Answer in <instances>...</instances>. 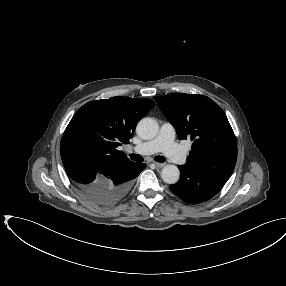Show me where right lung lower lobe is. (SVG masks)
I'll use <instances>...</instances> for the list:
<instances>
[{
    "label": "right lung lower lobe",
    "mask_w": 286,
    "mask_h": 286,
    "mask_svg": "<svg viewBox=\"0 0 286 286\" xmlns=\"http://www.w3.org/2000/svg\"><path fill=\"white\" fill-rule=\"evenodd\" d=\"M60 152L65 170L78 192L99 206L121 200L129 192L132 179L146 167L144 163L131 162L106 170L80 142L71 138L61 140Z\"/></svg>",
    "instance_id": "1"
}]
</instances>
